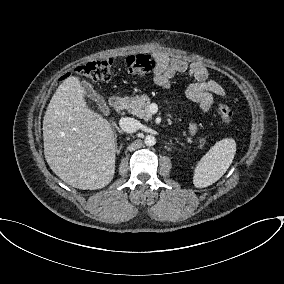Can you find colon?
<instances>
[{"mask_svg": "<svg viewBox=\"0 0 284 284\" xmlns=\"http://www.w3.org/2000/svg\"><path fill=\"white\" fill-rule=\"evenodd\" d=\"M128 73L132 75H144L157 68V61L148 54H136L128 56L125 61ZM114 61L112 59H102L91 61L75 68V72L93 81H107L111 78ZM218 113L226 125L233 121V114L224 103H218Z\"/></svg>", "mask_w": 284, "mask_h": 284, "instance_id": "obj_1", "label": "colon"}]
</instances>
